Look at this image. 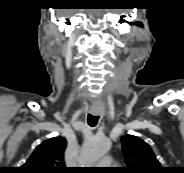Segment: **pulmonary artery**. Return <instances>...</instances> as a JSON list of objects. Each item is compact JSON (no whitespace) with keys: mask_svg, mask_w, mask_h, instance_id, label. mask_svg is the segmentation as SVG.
<instances>
[{"mask_svg":"<svg viewBox=\"0 0 184 173\" xmlns=\"http://www.w3.org/2000/svg\"><path fill=\"white\" fill-rule=\"evenodd\" d=\"M99 166L107 168L113 164V161L110 157H104L98 162Z\"/></svg>","mask_w":184,"mask_h":173,"instance_id":"e3ab8cb5","label":"pulmonary artery"}]
</instances>
